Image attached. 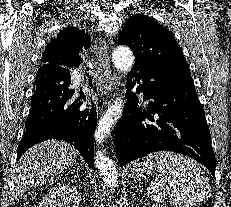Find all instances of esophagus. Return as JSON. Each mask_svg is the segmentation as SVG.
Listing matches in <instances>:
<instances>
[{"label":"esophagus","instance_id":"1","mask_svg":"<svg viewBox=\"0 0 231 207\" xmlns=\"http://www.w3.org/2000/svg\"><path fill=\"white\" fill-rule=\"evenodd\" d=\"M96 54L99 67L101 68L100 81L105 90H112L115 84V77L110 69V59L107 52V44L105 40H100L96 46Z\"/></svg>","mask_w":231,"mask_h":207}]
</instances>
